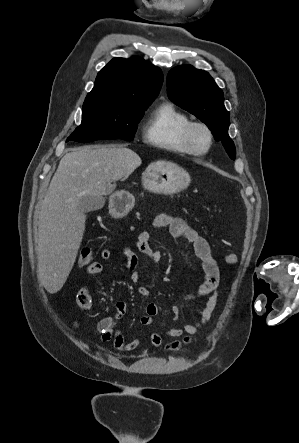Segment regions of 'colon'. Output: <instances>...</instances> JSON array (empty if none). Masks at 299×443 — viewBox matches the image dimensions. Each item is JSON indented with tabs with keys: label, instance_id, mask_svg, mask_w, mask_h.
<instances>
[{
	"label": "colon",
	"instance_id": "colon-1",
	"mask_svg": "<svg viewBox=\"0 0 299 443\" xmlns=\"http://www.w3.org/2000/svg\"><path fill=\"white\" fill-rule=\"evenodd\" d=\"M92 257L93 248L91 246H85L81 249L78 262L81 266L87 265L92 260ZM225 261L230 265H234L238 262V257L234 253H226Z\"/></svg>",
	"mask_w": 299,
	"mask_h": 443
}]
</instances>
